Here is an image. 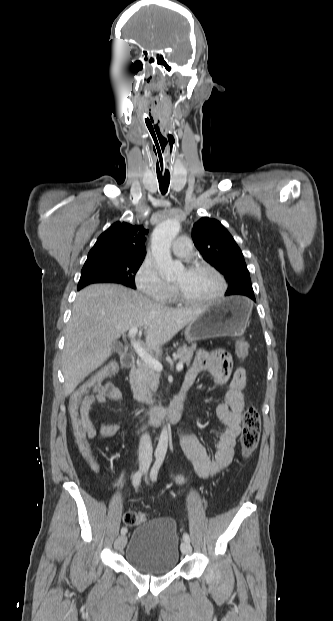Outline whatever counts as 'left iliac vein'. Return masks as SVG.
<instances>
[{"instance_id": "left-iliac-vein-1", "label": "left iliac vein", "mask_w": 333, "mask_h": 621, "mask_svg": "<svg viewBox=\"0 0 333 621\" xmlns=\"http://www.w3.org/2000/svg\"><path fill=\"white\" fill-rule=\"evenodd\" d=\"M181 552L185 555L192 552V547L188 542H182L180 546Z\"/></svg>"}]
</instances>
